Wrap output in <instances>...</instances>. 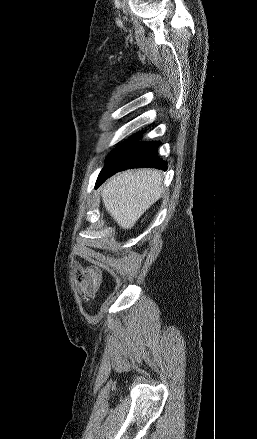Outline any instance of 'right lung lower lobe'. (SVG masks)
I'll list each match as a JSON object with an SVG mask.
<instances>
[{
	"mask_svg": "<svg viewBox=\"0 0 257 439\" xmlns=\"http://www.w3.org/2000/svg\"><path fill=\"white\" fill-rule=\"evenodd\" d=\"M142 132L117 146L107 157V163L96 181V188L113 174L131 168L152 167L166 170L167 163L157 156L159 142H138Z\"/></svg>",
	"mask_w": 257,
	"mask_h": 439,
	"instance_id": "1",
	"label": "right lung lower lobe"
}]
</instances>
